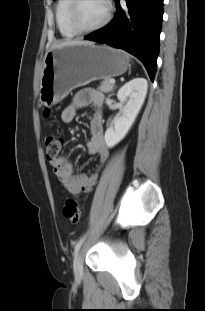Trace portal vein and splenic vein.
<instances>
[{
	"mask_svg": "<svg viewBox=\"0 0 205 311\" xmlns=\"http://www.w3.org/2000/svg\"><path fill=\"white\" fill-rule=\"evenodd\" d=\"M110 83L111 84H115V80L114 79H110Z\"/></svg>",
	"mask_w": 205,
	"mask_h": 311,
	"instance_id": "portal-vein-and-splenic-vein-1",
	"label": "portal vein and splenic vein"
}]
</instances>
